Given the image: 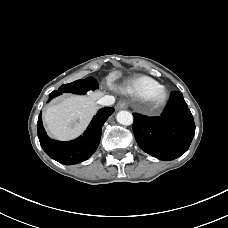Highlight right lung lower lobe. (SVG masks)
Segmentation results:
<instances>
[{
  "label": "right lung lower lobe",
  "instance_id": "right-lung-lower-lobe-1",
  "mask_svg": "<svg viewBox=\"0 0 228 228\" xmlns=\"http://www.w3.org/2000/svg\"><path fill=\"white\" fill-rule=\"evenodd\" d=\"M58 95H61L60 91H53L49 95V100ZM113 112L114 108L112 107L100 109L83 136L68 142L52 140L47 136L40 113L37 122L40 145L52 159L62 164L72 165L85 161L96 151L101 138L102 125Z\"/></svg>",
  "mask_w": 228,
  "mask_h": 228
}]
</instances>
